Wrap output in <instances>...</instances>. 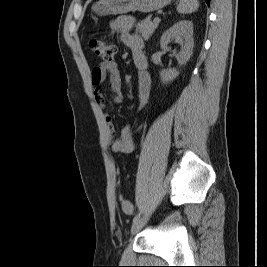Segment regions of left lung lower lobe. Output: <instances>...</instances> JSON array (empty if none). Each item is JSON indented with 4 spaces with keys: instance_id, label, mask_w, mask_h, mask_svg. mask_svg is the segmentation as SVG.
Wrapping results in <instances>:
<instances>
[{
    "instance_id": "1",
    "label": "left lung lower lobe",
    "mask_w": 267,
    "mask_h": 267,
    "mask_svg": "<svg viewBox=\"0 0 267 267\" xmlns=\"http://www.w3.org/2000/svg\"><path fill=\"white\" fill-rule=\"evenodd\" d=\"M205 1H206V3L209 5L211 0H205Z\"/></svg>"
}]
</instances>
